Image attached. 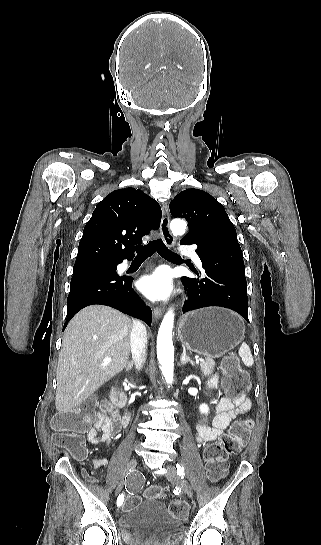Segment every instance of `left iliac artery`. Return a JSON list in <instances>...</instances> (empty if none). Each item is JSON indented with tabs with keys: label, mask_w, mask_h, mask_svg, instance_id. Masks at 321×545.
<instances>
[{
	"label": "left iliac artery",
	"mask_w": 321,
	"mask_h": 545,
	"mask_svg": "<svg viewBox=\"0 0 321 545\" xmlns=\"http://www.w3.org/2000/svg\"><path fill=\"white\" fill-rule=\"evenodd\" d=\"M176 467H177V470H178V474L183 476L184 475L183 467H181L180 464H177Z\"/></svg>",
	"instance_id": "44dca946"
}]
</instances>
